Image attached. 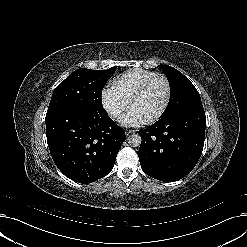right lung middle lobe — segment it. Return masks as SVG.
Listing matches in <instances>:
<instances>
[{"label": "right lung middle lobe", "mask_w": 247, "mask_h": 247, "mask_svg": "<svg viewBox=\"0 0 247 247\" xmlns=\"http://www.w3.org/2000/svg\"><path fill=\"white\" fill-rule=\"evenodd\" d=\"M114 71L77 69L55 88L47 113L64 107H103L102 89Z\"/></svg>", "instance_id": "1"}]
</instances>
